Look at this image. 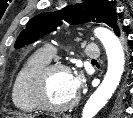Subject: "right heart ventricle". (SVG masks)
Returning a JSON list of instances; mask_svg holds the SVG:
<instances>
[{
    "label": "right heart ventricle",
    "mask_w": 133,
    "mask_h": 118,
    "mask_svg": "<svg viewBox=\"0 0 133 118\" xmlns=\"http://www.w3.org/2000/svg\"><path fill=\"white\" fill-rule=\"evenodd\" d=\"M52 57L44 50H38L32 54L18 71L11 90V98L14 106L25 113L38 110L30 93V82L34 74L51 62Z\"/></svg>",
    "instance_id": "right-heart-ventricle-1"
}]
</instances>
